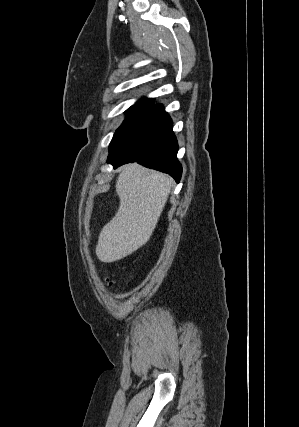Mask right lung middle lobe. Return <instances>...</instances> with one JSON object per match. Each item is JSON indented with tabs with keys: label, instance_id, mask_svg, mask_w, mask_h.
Listing matches in <instances>:
<instances>
[{
	"label": "right lung middle lobe",
	"instance_id": "dd1d6c3e",
	"mask_svg": "<svg viewBox=\"0 0 299 427\" xmlns=\"http://www.w3.org/2000/svg\"><path fill=\"white\" fill-rule=\"evenodd\" d=\"M138 102L127 110L126 119L116 130L110 143L109 150L112 149L119 141L127 136L135 126L151 111L154 104H143Z\"/></svg>",
	"mask_w": 299,
	"mask_h": 427
}]
</instances>
